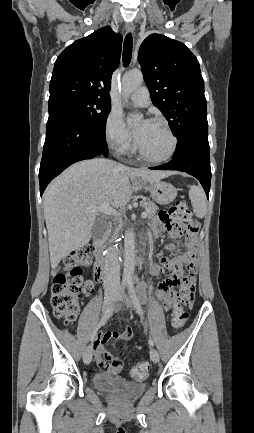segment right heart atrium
I'll return each instance as SVG.
<instances>
[{
  "mask_svg": "<svg viewBox=\"0 0 254 433\" xmlns=\"http://www.w3.org/2000/svg\"><path fill=\"white\" fill-rule=\"evenodd\" d=\"M104 136L108 145L120 154L129 153L133 149V138L117 111L109 113L105 121Z\"/></svg>",
  "mask_w": 254,
  "mask_h": 433,
  "instance_id": "d8ad5b80",
  "label": "right heart atrium"
}]
</instances>
